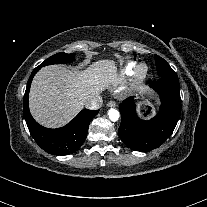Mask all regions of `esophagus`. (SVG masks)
Segmentation results:
<instances>
[{"instance_id": "1", "label": "esophagus", "mask_w": 207, "mask_h": 207, "mask_svg": "<svg viewBox=\"0 0 207 207\" xmlns=\"http://www.w3.org/2000/svg\"><path fill=\"white\" fill-rule=\"evenodd\" d=\"M107 106L110 108H114V107H116V102L110 101V102H108Z\"/></svg>"}]
</instances>
